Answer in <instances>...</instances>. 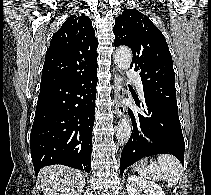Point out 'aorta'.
I'll return each instance as SVG.
<instances>
[{"instance_id": "obj_1", "label": "aorta", "mask_w": 211, "mask_h": 195, "mask_svg": "<svg viewBox=\"0 0 211 195\" xmlns=\"http://www.w3.org/2000/svg\"><path fill=\"white\" fill-rule=\"evenodd\" d=\"M132 61L131 50L127 47H120L116 50L114 62L120 71L130 67ZM131 135V122L128 116L122 117L116 130V139L120 146H124Z\"/></svg>"}]
</instances>
